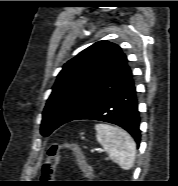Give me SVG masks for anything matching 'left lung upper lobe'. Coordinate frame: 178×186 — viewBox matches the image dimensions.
Here are the masks:
<instances>
[{"label":"left lung upper lobe","instance_id":"left-lung-upper-lobe-1","mask_svg":"<svg viewBox=\"0 0 178 186\" xmlns=\"http://www.w3.org/2000/svg\"><path fill=\"white\" fill-rule=\"evenodd\" d=\"M121 48L99 41L69 60L58 74L43 111L41 134L48 136L64 123L132 78Z\"/></svg>","mask_w":178,"mask_h":186}]
</instances>
